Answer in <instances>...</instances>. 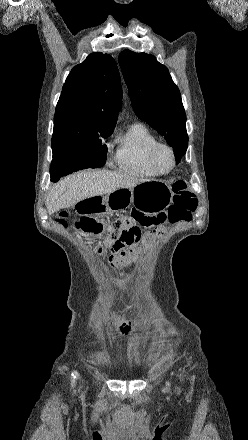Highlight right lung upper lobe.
I'll list each match as a JSON object with an SVG mask.
<instances>
[{
    "instance_id": "right-lung-upper-lobe-1",
    "label": "right lung upper lobe",
    "mask_w": 248,
    "mask_h": 440,
    "mask_svg": "<svg viewBox=\"0 0 248 440\" xmlns=\"http://www.w3.org/2000/svg\"><path fill=\"white\" fill-rule=\"evenodd\" d=\"M121 95L115 60L100 52L90 54L65 81L54 116L52 147L114 130Z\"/></svg>"
}]
</instances>
